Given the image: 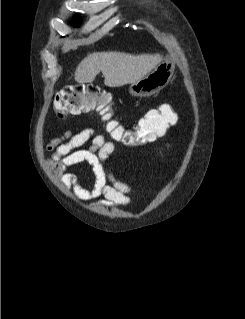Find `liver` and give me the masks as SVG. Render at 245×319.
I'll return each mask as SVG.
<instances>
[{"mask_svg": "<svg viewBox=\"0 0 245 319\" xmlns=\"http://www.w3.org/2000/svg\"><path fill=\"white\" fill-rule=\"evenodd\" d=\"M161 58L160 54L94 52L78 64L74 79L78 83H90L102 72L106 86L121 87L143 78L157 66Z\"/></svg>", "mask_w": 245, "mask_h": 319, "instance_id": "obj_1", "label": "liver"}]
</instances>
